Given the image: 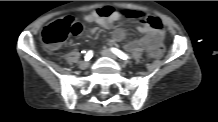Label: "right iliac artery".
<instances>
[{
  "label": "right iliac artery",
  "mask_w": 218,
  "mask_h": 122,
  "mask_svg": "<svg viewBox=\"0 0 218 122\" xmlns=\"http://www.w3.org/2000/svg\"><path fill=\"white\" fill-rule=\"evenodd\" d=\"M93 56V51L89 50L85 55V60L88 61Z\"/></svg>",
  "instance_id": "right-iliac-artery-1"
}]
</instances>
